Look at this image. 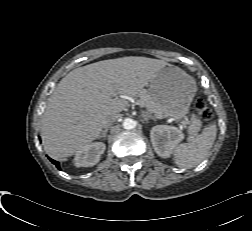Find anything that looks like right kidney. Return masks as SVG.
<instances>
[{"label": "right kidney", "instance_id": "ca27d5eb", "mask_svg": "<svg viewBox=\"0 0 252 231\" xmlns=\"http://www.w3.org/2000/svg\"><path fill=\"white\" fill-rule=\"evenodd\" d=\"M106 146L102 142H94L83 146L77 151L74 157V164L77 167L94 166L100 161Z\"/></svg>", "mask_w": 252, "mask_h": 231}]
</instances>
